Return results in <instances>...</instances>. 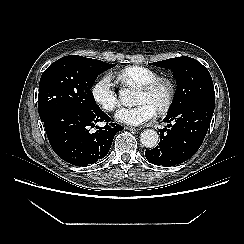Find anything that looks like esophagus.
<instances>
[{"mask_svg": "<svg viewBox=\"0 0 244 244\" xmlns=\"http://www.w3.org/2000/svg\"><path fill=\"white\" fill-rule=\"evenodd\" d=\"M125 129L130 130V131H138L139 130V128L129 127V126L125 127Z\"/></svg>", "mask_w": 244, "mask_h": 244, "instance_id": "1", "label": "esophagus"}]
</instances>
